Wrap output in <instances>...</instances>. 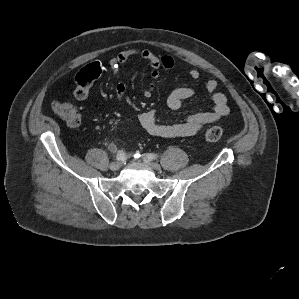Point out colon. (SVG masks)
I'll list each match as a JSON object with an SVG mask.
<instances>
[{"instance_id": "obj_1", "label": "colon", "mask_w": 299, "mask_h": 299, "mask_svg": "<svg viewBox=\"0 0 299 299\" xmlns=\"http://www.w3.org/2000/svg\"><path fill=\"white\" fill-rule=\"evenodd\" d=\"M53 112L59 116L71 128H76L81 122V114L77 107L71 102L55 100L52 103ZM223 130L213 126L205 130L204 138L207 141L215 142L222 138Z\"/></svg>"}]
</instances>
